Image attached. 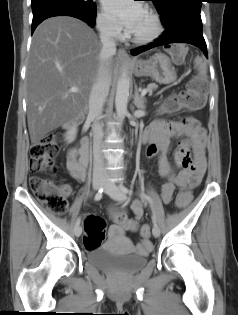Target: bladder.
Segmentation results:
<instances>
[{"label":"bladder","instance_id":"obj_1","mask_svg":"<svg viewBox=\"0 0 238 315\" xmlns=\"http://www.w3.org/2000/svg\"><path fill=\"white\" fill-rule=\"evenodd\" d=\"M107 249L110 248L93 247L87 249L86 261L103 270L130 274L143 268L149 257V253L130 256H107Z\"/></svg>","mask_w":238,"mask_h":315}]
</instances>
